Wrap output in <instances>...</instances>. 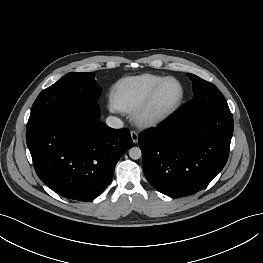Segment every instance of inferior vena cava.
<instances>
[{"label":"inferior vena cava","mask_w":263,"mask_h":263,"mask_svg":"<svg viewBox=\"0 0 263 263\" xmlns=\"http://www.w3.org/2000/svg\"><path fill=\"white\" fill-rule=\"evenodd\" d=\"M106 124L114 129H120L123 127L122 120L114 116H108L106 119Z\"/></svg>","instance_id":"602c4592"}]
</instances>
